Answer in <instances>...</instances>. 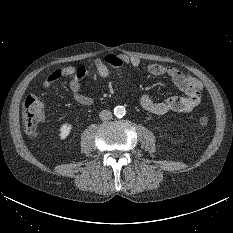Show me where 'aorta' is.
Returning <instances> with one entry per match:
<instances>
[{
	"label": "aorta",
	"mask_w": 233,
	"mask_h": 233,
	"mask_svg": "<svg viewBox=\"0 0 233 233\" xmlns=\"http://www.w3.org/2000/svg\"><path fill=\"white\" fill-rule=\"evenodd\" d=\"M126 114L124 106H117L114 108V115L118 118H122Z\"/></svg>",
	"instance_id": "obj_1"
}]
</instances>
